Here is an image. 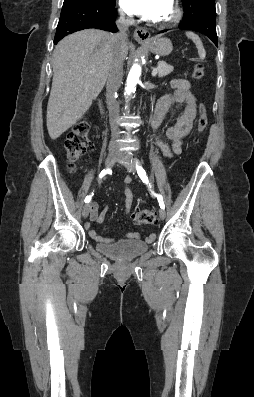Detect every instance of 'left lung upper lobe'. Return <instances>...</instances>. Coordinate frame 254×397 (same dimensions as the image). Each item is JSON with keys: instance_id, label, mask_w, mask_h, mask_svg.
Listing matches in <instances>:
<instances>
[{"instance_id": "left-lung-upper-lobe-1", "label": "left lung upper lobe", "mask_w": 254, "mask_h": 397, "mask_svg": "<svg viewBox=\"0 0 254 397\" xmlns=\"http://www.w3.org/2000/svg\"><path fill=\"white\" fill-rule=\"evenodd\" d=\"M183 4H185L188 0H181Z\"/></svg>"}]
</instances>
